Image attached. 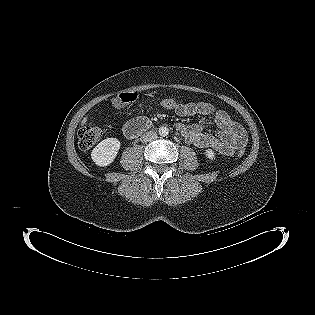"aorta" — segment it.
Wrapping results in <instances>:
<instances>
[{
	"label": "aorta",
	"mask_w": 315,
	"mask_h": 315,
	"mask_svg": "<svg viewBox=\"0 0 315 315\" xmlns=\"http://www.w3.org/2000/svg\"><path fill=\"white\" fill-rule=\"evenodd\" d=\"M159 134H160V136L165 137L169 134V129L165 126H162L159 128Z\"/></svg>",
	"instance_id": "1"
}]
</instances>
